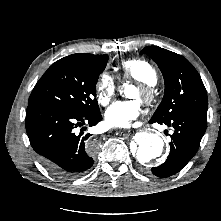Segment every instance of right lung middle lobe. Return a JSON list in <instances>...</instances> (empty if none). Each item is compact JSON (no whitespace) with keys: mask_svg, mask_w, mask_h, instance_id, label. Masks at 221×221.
<instances>
[{"mask_svg":"<svg viewBox=\"0 0 221 221\" xmlns=\"http://www.w3.org/2000/svg\"><path fill=\"white\" fill-rule=\"evenodd\" d=\"M108 56L79 58L72 55L53 63L35 85L28 103H41L81 116L100 113L96 83Z\"/></svg>","mask_w":221,"mask_h":221,"instance_id":"obj_1","label":"right lung middle lobe"}]
</instances>
